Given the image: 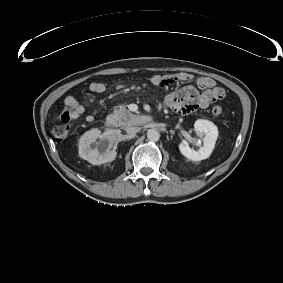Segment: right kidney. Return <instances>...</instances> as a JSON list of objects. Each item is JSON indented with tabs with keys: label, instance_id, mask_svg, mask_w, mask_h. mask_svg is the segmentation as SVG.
Wrapping results in <instances>:
<instances>
[{
	"label": "right kidney",
	"instance_id": "1",
	"mask_svg": "<svg viewBox=\"0 0 283 283\" xmlns=\"http://www.w3.org/2000/svg\"><path fill=\"white\" fill-rule=\"evenodd\" d=\"M114 143L113 130L108 129L101 133L97 128L91 129L85 132L79 140V156L92 165L112 162L117 156L113 148Z\"/></svg>",
	"mask_w": 283,
	"mask_h": 283
}]
</instances>
